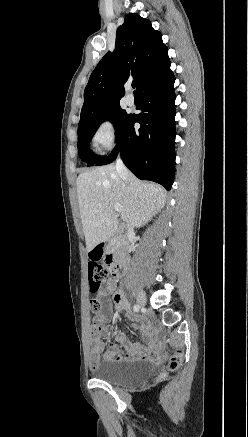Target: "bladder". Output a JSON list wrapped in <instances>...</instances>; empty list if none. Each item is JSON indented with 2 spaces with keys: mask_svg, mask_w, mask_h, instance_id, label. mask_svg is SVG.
Segmentation results:
<instances>
[{
  "mask_svg": "<svg viewBox=\"0 0 248 437\" xmlns=\"http://www.w3.org/2000/svg\"><path fill=\"white\" fill-rule=\"evenodd\" d=\"M154 371V364L147 360L104 361L94 375L112 385L124 386L146 381Z\"/></svg>",
  "mask_w": 248,
  "mask_h": 437,
  "instance_id": "obj_1",
  "label": "bladder"
}]
</instances>
